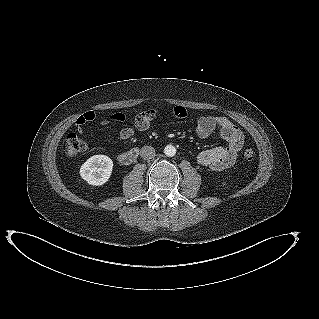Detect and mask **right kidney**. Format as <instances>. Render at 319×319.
<instances>
[{
	"instance_id": "ca27d5eb",
	"label": "right kidney",
	"mask_w": 319,
	"mask_h": 319,
	"mask_svg": "<svg viewBox=\"0 0 319 319\" xmlns=\"http://www.w3.org/2000/svg\"><path fill=\"white\" fill-rule=\"evenodd\" d=\"M113 161L105 155L90 157L80 168V176L90 185L100 186L106 183L112 173Z\"/></svg>"
}]
</instances>
